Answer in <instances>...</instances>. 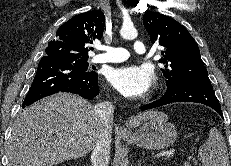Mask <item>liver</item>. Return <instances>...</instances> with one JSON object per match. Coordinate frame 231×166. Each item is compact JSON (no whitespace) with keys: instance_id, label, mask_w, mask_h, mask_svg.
Masks as SVG:
<instances>
[{"instance_id":"liver-1","label":"liver","mask_w":231,"mask_h":166,"mask_svg":"<svg viewBox=\"0 0 231 166\" xmlns=\"http://www.w3.org/2000/svg\"><path fill=\"white\" fill-rule=\"evenodd\" d=\"M155 113L127 123L138 126ZM102 121L95 107L70 93H58L26 107L16 119L8 145V166H53L83 157L95 147Z\"/></svg>"}]
</instances>
